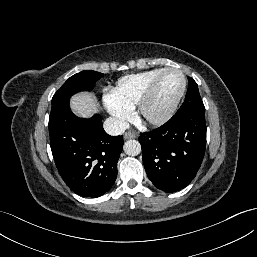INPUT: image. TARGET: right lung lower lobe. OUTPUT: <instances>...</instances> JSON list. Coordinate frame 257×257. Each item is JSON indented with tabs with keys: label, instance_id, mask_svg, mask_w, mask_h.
Returning a JSON list of instances; mask_svg holds the SVG:
<instances>
[{
	"label": "right lung lower lobe",
	"instance_id": "obj_1",
	"mask_svg": "<svg viewBox=\"0 0 257 257\" xmlns=\"http://www.w3.org/2000/svg\"><path fill=\"white\" fill-rule=\"evenodd\" d=\"M50 146L66 185L82 197H99L114 184L123 136L108 135L99 114L84 119L70 108L49 120Z\"/></svg>",
	"mask_w": 257,
	"mask_h": 257
}]
</instances>
